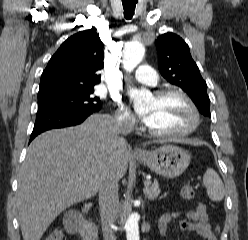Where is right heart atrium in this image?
<instances>
[{"instance_id":"1","label":"right heart atrium","mask_w":248,"mask_h":240,"mask_svg":"<svg viewBox=\"0 0 248 240\" xmlns=\"http://www.w3.org/2000/svg\"><path fill=\"white\" fill-rule=\"evenodd\" d=\"M115 106V120L125 127H133L135 120L127 108L119 100L115 101Z\"/></svg>"}]
</instances>
